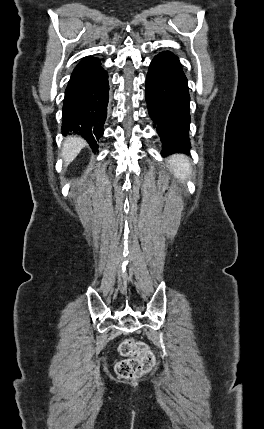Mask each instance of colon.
Listing matches in <instances>:
<instances>
[{"mask_svg": "<svg viewBox=\"0 0 264 429\" xmlns=\"http://www.w3.org/2000/svg\"><path fill=\"white\" fill-rule=\"evenodd\" d=\"M119 353L128 357L116 365V373L123 379L140 378L155 364V358L150 348L145 343L133 339H125L119 345Z\"/></svg>", "mask_w": 264, "mask_h": 429, "instance_id": "obj_1", "label": "colon"}]
</instances>
